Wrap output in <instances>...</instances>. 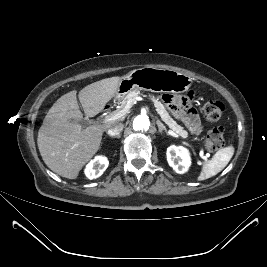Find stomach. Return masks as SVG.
I'll list each match as a JSON object with an SVG mask.
<instances>
[{
    "mask_svg": "<svg viewBox=\"0 0 267 267\" xmlns=\"http://www.w3.org/2000/svg\"><path fill=\"white\" fill-rule=\"evenodd\" d=\"M192 84V78L186 74L154 67H143L121 77L115 98L123 99L133 90L183 93Z\"/></svg>",
    "mask_w": 267,
    "mask_h": 267,
    "instance_id": "obj_1",
    "label": "stomach"
}]
</instances>
